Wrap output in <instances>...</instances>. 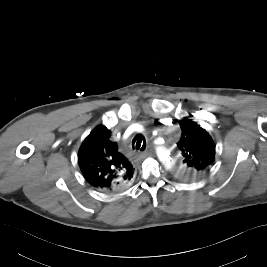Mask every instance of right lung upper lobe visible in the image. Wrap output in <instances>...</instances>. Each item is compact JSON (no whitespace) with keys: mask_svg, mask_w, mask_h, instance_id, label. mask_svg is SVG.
<instances>
[{"mask_svg":"<svg viewBox=\"0 0 267 267\" xmlns=\"http://www.w3.org/2000/svg\"><path fill=\"white\" fill-rule=\"evenodd\" d=\"M110 136L105 126H97L82 143L78 163L92 187L104 192H119L131 185L134 168Z\"/></svg>","mask_w":267,"mask_h":267,"instance_id":"obj_1","label":"right lung upper lobe"}]
</instances>
